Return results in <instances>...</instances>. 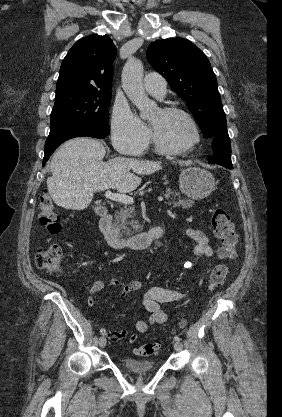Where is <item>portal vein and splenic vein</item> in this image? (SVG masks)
Listing matches in <instances>:
<instances>
[{
    "mask_svg": "<svg viewBox=\"0 0 282 417\" xmlns=\"http://www.w3.org/2000/svg\"><path fill=\"white\" fill-rule=\"evenodd\" d=\"M104 196L110 198V200H118V202H125V204H132L134 202L133 196H128V194H122V192H111V190H106ZM159 203H164L165 199L163 195L156 196Z\"/></svg>",
    "mask_w": 282,
    "mask_h": 417,
    "instance_id": "portal-vein-and-splenic-vein-1",
    "label": "portal vein and splenic vein"
}]
</instances>
